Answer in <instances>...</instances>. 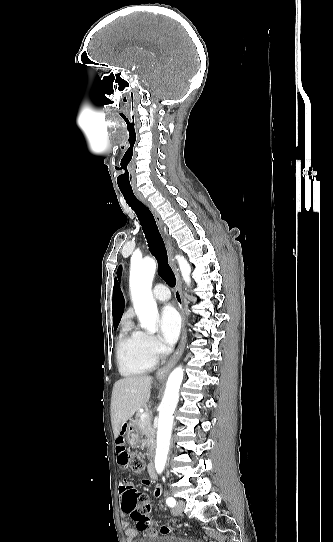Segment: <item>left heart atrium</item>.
<instances>
[{"label":"left heart atrium","instance_id":"left-heart-atrium-1","mask_svg":"<svg viewBox=\"0 0 333 542\" xmlns=\"http://www.w3.org/2000/svg\"><path fill=\"white\" fill-rule=\"evenodd\" d=\"M180 331V318L172 306H166L161 312V338L168 347L176 342Z\"/></svg>","mask_w":333,"mask_h":542}]
</instances>
